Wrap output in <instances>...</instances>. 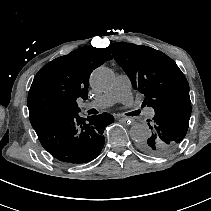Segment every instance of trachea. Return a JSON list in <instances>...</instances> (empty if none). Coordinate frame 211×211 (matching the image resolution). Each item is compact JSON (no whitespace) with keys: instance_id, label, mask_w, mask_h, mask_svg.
I'll use <instances>...</instances> for the list:
<instances>
[{"instance_id":"3493384b","label":"trachea","mask_w":211,"mask_h":211,"mask_svg":"<svg viewBox=\"0 0 211 211\" xmlns=\"http://www.w3.org/2000/svg\"><path fill=\"white\" fill-rule=\"evenodd\" d=\"M140 111L137 110V111H133V112H130V113H127L126 115H129V116H136V115H139Z\"/></svg>"}]
</instances>
